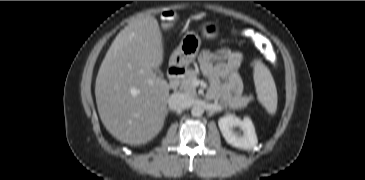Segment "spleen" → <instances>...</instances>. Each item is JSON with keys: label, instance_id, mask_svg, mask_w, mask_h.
I'll list each match as a JSON object with an SVG mask.
<instances>
[{"label": "spleen", "instance_id": "3e777b00", "mask_svg": "<svg viewBox=\"0 0 365 180\" xmlns=\"http://www.w3.org/2000/svg\"><path fill=\"white\" fill-rule=\"evenodd\" d=\"M252 64L258 100L270 114H275L277 109V90L274 79L269 69L261 60L255 59Z\"/></svg>", "mask_w": 365, "mask_h": 180}]
</instances>
